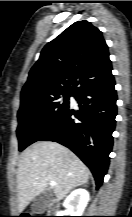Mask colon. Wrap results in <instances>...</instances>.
<instances>
[{
    "mask_svg": "<svg viewBox=\"0 0 132 217\" xmlns=\"http://www.w3.org/2000/svg\"><path fill=\"white\" fill-rule=\"evenodd\" d=\"M22 217H33V216H22Z\"/></svg>",
    "mask_w": 132,
    "mask_h": 217,
    "instance_id": "colon-1",
    "label": "colon"
}]
</instances>
